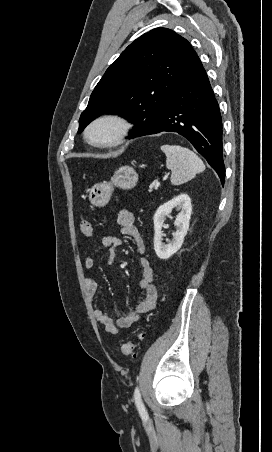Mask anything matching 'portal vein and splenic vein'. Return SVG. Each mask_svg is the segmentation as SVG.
Here are the masks:
<instances>
[{
	"label": "portal vein and splenic vein",
	"instance_id": "18ae733b",
	"mask_svg": "<svg viewBox=\"0 0 272 452\" xmlns=\"http://www.w3.org/2000/svg\"><path fill=\"white\" fill-rule=\"evenodd\" d=\"M159 186H160V182L157 181V182L154 184V188H158Z\"/></svg>",
	"mask_w": 272,
	"mask_h": 452
}]
</instances>
